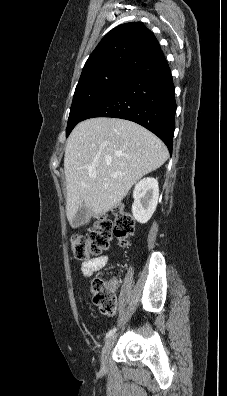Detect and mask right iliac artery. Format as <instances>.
<instances>
[{
	"mask_svg": "<svg viewBox=\"0 0 227 396\" xmlns=\"http://www.w3.org/2000/svg\"><path fill=\"white\" fill-rule=\"evenodd\" d=\"M116 330H117L116 328H113L110 331H108L106 334V338H109L110 336H112L116 332Z\"/></svg>",
	"mask_w": 227,
	"mask_h": 396,
	"instance_id": "right-iliac-artery-1",
	"label": "right iliac artery"
}]
</instances>
